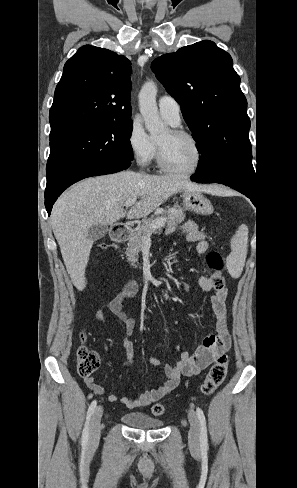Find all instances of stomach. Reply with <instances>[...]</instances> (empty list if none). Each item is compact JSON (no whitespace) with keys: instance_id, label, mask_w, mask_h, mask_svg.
Returning a JSON list of instances; mask_svg holds the SVG:
<instances>
[{"instance_id":"1","label":"stomach","mask_w":297,"mask_h":488,"mask_svg":"<svg viewBox=\"0 0 297 488\" xmlns=\"http://www.w3.org/2000/svg\"><path fill=\"white\" fill-rule=\"evenodd\" d=\"M182 196L186 209L200 215H209L213 212L211 202L201 192L183 190Z\"/></svg>"}]
</instances>
